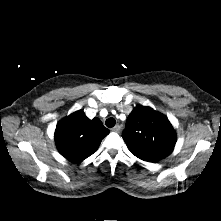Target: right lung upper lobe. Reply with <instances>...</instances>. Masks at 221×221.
Wrapping results in <instances>:
<instances>
[{
    "label": "right lung upper lobe",
    "instance_id": "obj_1",
    "mask_svg": "<svg viewBox=\"0 0 221 221\" xmlns=\"http://www.w3.org/2000/svg\"><path fill=\"white\" fill-rule=\"evenodd\" d=\"M109 132L100 119L91 120L83 110H79L59 121L55 143L62 156L78 163L92 155Z\"/></svg>",
    "mask_w": 221,
    "mask_h": 221
}]
</instances>
